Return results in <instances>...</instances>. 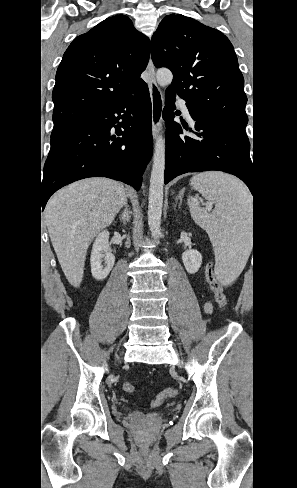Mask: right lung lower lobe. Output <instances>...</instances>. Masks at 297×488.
<instances>
[{"instance_id":"98d812e1","label":"right lung lower lobe","mask_w":297,"mask_h":488,"mask_svg":"<svg viewBox=\"0 0 297 488\" xmlns=\"http://www.w3.org/2000/svg\"><path fill=\"white\" fill-rule=\"evenodd\" d=\"M151 156V100L142 82L112 106L51 134L40 182L42 211L58 189L88 177L112 178L139 190Z\"/></svg>"}]
</instances>
